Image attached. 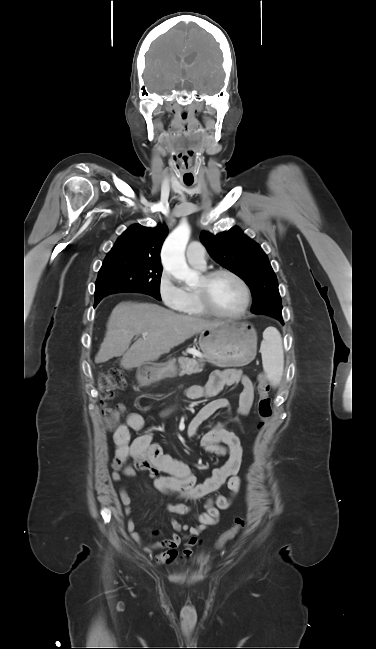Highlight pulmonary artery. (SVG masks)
<instances>
[{"mask_svg":"<svg viewBox=\"0 0 376 649\" xmlns=\"http://www.w3.org/2000/svg\"><path fill=\"white\" fill-rule=\"evenodd\" d=\"M186 257L188 262L195 267L203 269L206 265L205 248L200 242L194 241L188 245Z\"/></svg>","mask_w":376,"mask_h":649,"instance_id":"1","label":"pulmonary artery"}]
</instances>
